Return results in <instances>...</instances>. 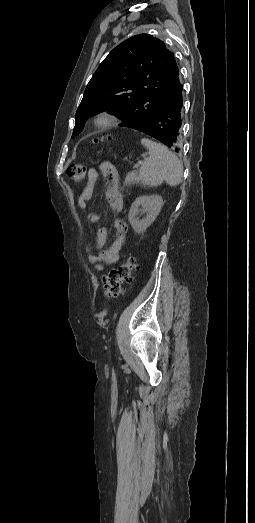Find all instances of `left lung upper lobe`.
<instances>
[{
    "label": "left lung upper lobe",
    "mask_w": 255,
    "mask_h": 523,
    "mask_svg": "<svg viewBox=\"0 0 255 523\" xmlns=\"http://www.w3.org/2000/svg\"><path fill=\"white\" fill-rule=\"evenodd\" d=\"M178 85L179 69L165 44L152 35L133 36L109 53L89 81L76 112L72 138L83 130L88 118L104 110L119 113L125 119L120 126L143 125L151 115H158Z\"/></svg>",
    "instance_id": "5c2ea615"
}]
</instances>
